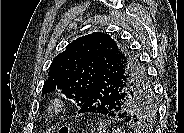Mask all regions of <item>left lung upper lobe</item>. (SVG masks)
<instances>
[{
  "mask_svg": "<svg viewBox=\"0 0 184 133\" xmlns=\"http://www.w3.org/2000/svg\"><path fill=\"white\" fill-rule=\"evenodd\" d=\"M104 55L114 61L117 67H121L128 85L127 93L133 89L126 107L128 116L131 117L130 123L143 127L156 113L154 94L146 70L120 39H113L106 33L94 32L79 37L58 54L50 65L49 78L44 83L42 92L61 90L67 98L75 100L81 107L101 75L99 64ZM141 85L150 88L151 93L145 94Z\"/></svg>",
  "mask_w": 184,
  "mask_h": 133,
  "instance_id": "left-lung-upper-lobe-1",
  "label": "left lung upper lobe"
}]
</instances>
